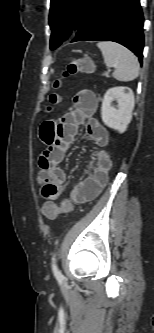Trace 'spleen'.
I'll return each mask as SVG.
<instances>
[{
	"label": "spleen",
	"instance_id": "3e777b00",
	"mask_svg": "<svg viewBox=\"0 0 154 333\" xmlns=\"http://www.w3.org/2000/svg\"><path fill=\"white\" fill-rule=\"evenodd\" d=\"M101 50L104 62L108 67H114L113 77L119 81H132L139 75L137 57L126 47L109 41L97 44Z\"/></svg>",
	"mask_w": 154,
	"mask_h": 333
}]
</instances>
